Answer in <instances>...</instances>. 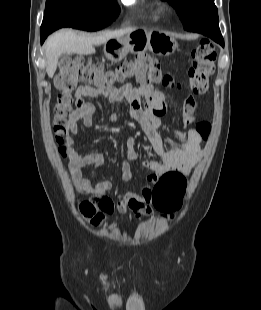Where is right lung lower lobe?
I'll use <instances>...</instances> for the list:
<instances>
[{
	"label": "right lung lower lobe",
	"instance_id": "obj_1",
	"mask_svg": "<svg viewBox=\"0 0 261 310\" xmlns=\"http://www.w3.org/2000/svg\"><path fill=\"white\" fill-rule=\"evenodd\" d=\"M53 31L54 30H44V29H41V43H43L45 38Z\"/></svg>",
	"mask_w": 261,
	"mask_h": 310
}]
</instances>
